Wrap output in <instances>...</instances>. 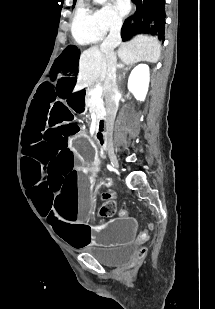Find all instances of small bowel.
<instances>
[{
	"label": "small bowel",
	"mask_w": 215,
	"mask_h": 309,
	"mask_svg": "<svg viewBox=\"0 0 215 309\" xmlns=\"http://www.w3.org/2000/svg\"><path fill=\"white\" fill-rule=\"evenodd\" d=\"M128 216L126 211H122L121 212V217L126 218Z\"/></svg>",
	"instance_id": "obj_1"
}]
</instances>
